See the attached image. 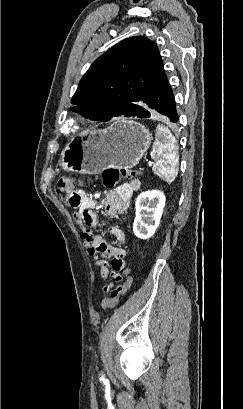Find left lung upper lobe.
Wrapping results in <instances>:
<instances>
[{
	"label": "left lung upper lobe",
	"instance_id": "1",
	"mask_svg": "<svg viewBox=\"0 0 243 409\" xmlns=\"http://www.w3.org/2000/svg\"><path fill=\"white\" fill-rule=\"evenodd\" d=\"M166 77L157 45L146 37L122 40L97 58L81 79L72 108L90 119L122 115Z\"/></svg>",
	"mask_w": 243,
	"mask_h": 409
}]
</instances>
